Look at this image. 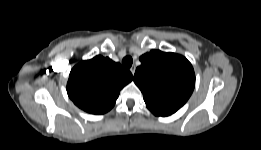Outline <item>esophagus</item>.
Masks as SVG:
<instances>
[{
	"label": "esophagus",
	"instance_id": "1",
	"mask_svg": "<svg viewBox=\"0 0 261 150\" xmlns=\"http://www.w3.org/2000/svg\"><path fill=\"white\" fill-rule=\"evenodd\" d=\"M135 70H136V67H135V66H132V67L130 68V72L132 73V75H134Z\"/></svg>",
	"mask_w": 261,
	"mask_h": 150
}]
</instances>
